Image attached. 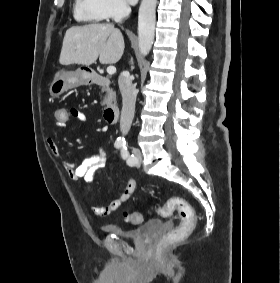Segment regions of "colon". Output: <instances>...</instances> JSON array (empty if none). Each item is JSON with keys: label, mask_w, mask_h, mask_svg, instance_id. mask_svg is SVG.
<instances>
[{"label": "colon", "mask_w": 280, "mask_h": 283, "mask_svg": "<svg viewBox=\"0 0 280 283\" xmlns=\"http://www.w3.org/2000/svg\"><path fill=\"white\" fill-rule=\"evenodd\" d=\"M54 122L67 123L71 115L68 114V107H55ZM178 211L180 223L167 234V238L171 240L183 239L189 235L195 227L196 216L192 206L183 198L172 197L167 203L157 209V214L163 217L169 216L173 211ZM125 218L132 224H139L143 220L140 212L125 213Z\"/></svg>", "instance_id": "5ec220e1"}]
</instances>
